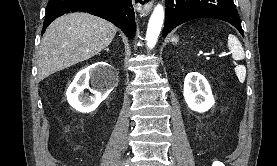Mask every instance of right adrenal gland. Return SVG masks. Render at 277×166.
Segmentation results:
<instances>
[{
    "label": "right adrenal gland",
    "instance_id": "1",
    "mask_svg": "<svg viewBox=\"0 0 277 166\" xmlns=\"http://www.w3.org/2000/svg\"><path fill=\"white\" fill-rule=\"evenodd\" d=\"M105 50H106L107 52H109V48H106Z\"/></svg>",
    "mask_w": 277,
    "mask_h": 166
}]
</instances>
